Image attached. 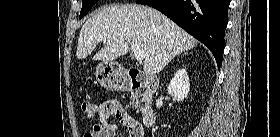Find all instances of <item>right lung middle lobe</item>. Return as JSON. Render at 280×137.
<instances>
[{
  "mask_svg": "<svg viewBox=\"0 0 280 137\" xmlns=\"http://www.w3.org/2000/svg\"><path fill=\"white\" fill-rule=\"evenodd\" d=\"M98 0H82L80 19L84 17Z\"/></svg>",
  "mask_w": 280,
  "mask_h": 137,
  "instance_id": "obj_1",
  "label": "right lung middle lobe"
}]
</instances>
